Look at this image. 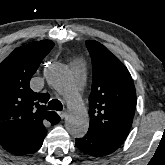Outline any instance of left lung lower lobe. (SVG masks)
<instances>
[{
  "mask_svg": "<svg viewBox=\"0 0 165 165\" xmlns=\"http://www.w3.org/2000/svg\"><path fill=\"white\" fill-rule=\"evenodd\" d=\"M121 144V142L110 139L93 129H89L84 137L76 139L77 148L92 157L109 155L116 151Z\"/></svg>",
  "mask_w": 165,
  "mask_h": 165,
  "instance_id": "0a47b994",
  "label": "left lung lower lobe"
}]
</instances>
